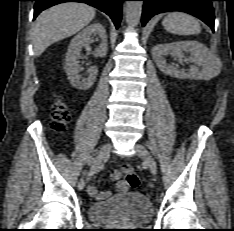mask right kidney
Segmentation results:
<instances>
[{
    "mask_svg": "<svg viewBox=\"0 0 234 231\" xmlns=\"http://www.w3.org/2000/svg\"><path fill=\"white\" fill-rule=\"evenodd\" d=\"M93 35L98 36V38L100 39V45L95 50V56H106L108 49L106 30L105 27L100 23H93L79 32L72 39L65 55L64 70L71 85L77 89H89L93 85L98 74V69L96 67H90L87 70V78H83L79 74L81 71H83V68L79 64L81 49H90V45L93 43Z\"/></svg>",
    "mask_w": 234,
    "mask_h": 231,
    "instance_id": "ca27d5eb",
    "label": "right kidney"
}]
</instances>
